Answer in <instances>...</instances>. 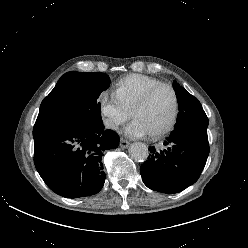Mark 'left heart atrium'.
I'll list each match as a JSON object with an SVG mask.
<instances>
[{"instance_id": "left-heart-atrium-1", "label": "left heart atrium", "mask_w": 248, "mask_h": 248, "mask_svg": "<svg viewBox=\"0 0 248 248\" xmlns=\"http://www.w3.org/2000/svg\"><path fill=\"white\" fill-rule=\"evenodd\" d=\"M126 135L133 138H141L148 135V131L137 120L133 119L125 129Z\"/></svg>"}]
</instances>
